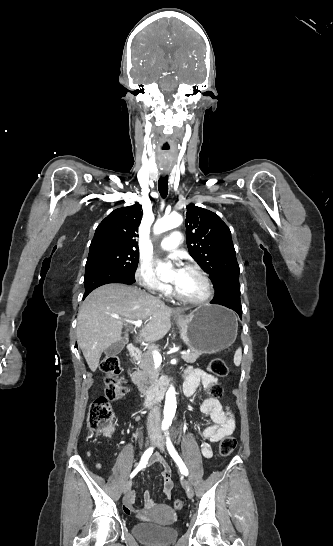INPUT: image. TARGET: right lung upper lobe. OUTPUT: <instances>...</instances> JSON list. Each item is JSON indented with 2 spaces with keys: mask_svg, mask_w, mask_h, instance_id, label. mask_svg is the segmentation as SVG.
Returning <instances> with one entry per match:
<instances>
[{
  "mask_svg": "<svg viewBox=\"0 0 333 546\" xmlns=\"http://www.w3.org/2000/svg\"><path fill=\"white\" fill-rule=\"evenodd\" d=\"M142 206L122 207L112 211L97 227L89 251L115 247L138 251V227L142 219Z\"/></svg>",
  "mask_w": 333,
  "mask_h": 546,
  "instance_id": "1",
  "label": "right lung upper lobe"
}]
</instances>
